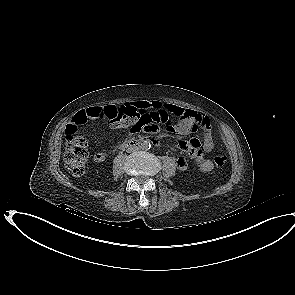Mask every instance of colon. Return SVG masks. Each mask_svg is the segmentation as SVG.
<instances>
[{
	"mask_svg": "<svg viewBox=\"0 0 295 295\" xmlns=\"http://www.w3.org/2000/svg\"><path fill=\"white\" fill-rule=\"evenodd\" d=\"M110 123L116 128H129L130 132L156 133L160 125L167 120V114L160 112H141L131 105L102 107ZM102 115V116H103ZM87 142L78 132L77 127L67 126L64 161L74 176H81L85 172L87 159ZM227 158L223 154L215 153L213 162L217 167H223Z\"/></svg>",
	"mask_w": 295,
	"mask_h": 295,
	"instance_id": "colon-1",
	"label": "colon"
}]
</instances>
